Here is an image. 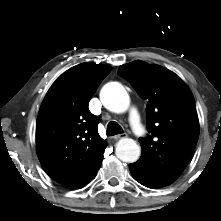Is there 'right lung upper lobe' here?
<instances>
[{
  "mask_svg": "<svg viewBox=\"0 0 221 221\" xmlns=\"http://www.w3.org/2000/svg\"><path fill=\"white\" fill-rule=\"evenodd\" d=\"M106 65L82 63L64 72L48 90L36 124L38 158L57 182L81 187L96 176L106 141L88 103L110 73Z\"/></svg>",
  "mask_w": 221,
  "mask_h": 221,
  "instance_id": "obj_1",
  "label": "right lung upper lobe"
}]
</instances>
